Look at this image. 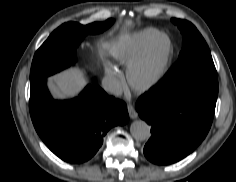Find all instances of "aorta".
Listing matches in <instances>:
<instances>
[{
    "mask_svg": "<svg viewBox=\"0 0 236 182\" xmlns=\"http://www.w3.org/2000/svg\"><path fill=\"white\" fill-rule=\"evenodd\" d=\"M130 132L134 139L144 141L150 138V126L142 120H136L131 123Z\"/></svg>",
    "mask_w": 236,
    "mask_h": 182,
    "instance_id": "obj_1",
    "label": "aorta"
}]
</instances>
